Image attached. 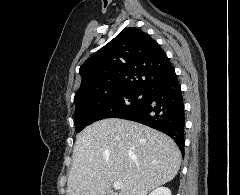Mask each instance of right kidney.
<instances>
[{
  "mask_svg": "<svg viewBox=\"0 0 240 195\" xmlns=\"http://www.w3.org/2000/svg\"><path fill=\"white\" fill-rule=\"evenodd\" d=\"M149 195H171V191L169 187H157V189H153Z\"/></svg>",
  "mask_w": 240,
  "mask_h": 195,
  "instance_id": "right-kidney-1",
  "label": "right kidney"
}]
</instances>
